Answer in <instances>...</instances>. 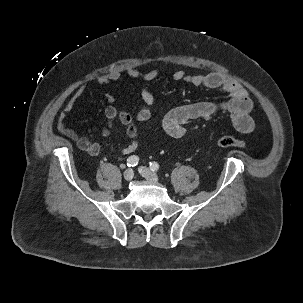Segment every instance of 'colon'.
<instances>
[{
    "instance_id": "colon-1",
    "label": "colon",
    "mask_w": 303,
    "mask_h": 303,
    "mask_svg": "<svg viewBox=\"0 0 303 303\" xmlns=\"http://www.w3.org/2000/svg\"><path fill=\"white\" fill-rule=\"evenodd\" d=\"M217 145L220 147H235V148H245L246 144L244 141L237 139L235 137L224 135L217 139Z\"/></svg>"
}]
</instances>
